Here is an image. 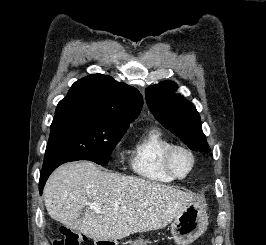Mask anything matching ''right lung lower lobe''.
Instances as JSON below:
<instances>
[{"mask_svg": "<svg viewBox=\"0 0 266 245\" xmlns=\"http://www.w3.org/2000/svg\"><path fill=\"white\" fill-rule=\"evenodd\" d=\"M63 163H66V161H57V162L51 163L49 165L43 166V168L41 170L40 181H39L40 195H42L44 185H45L46 180L49 177V175L53 172L54 169H56L58 166H60Z\"/></svg>", "mask_w": 266, "mask_h": 245, "instance_id": "right-lung-lower-lobe-1", "label": "right lung lower lobe"}]
</instances>
